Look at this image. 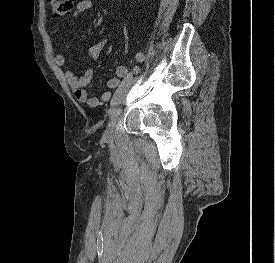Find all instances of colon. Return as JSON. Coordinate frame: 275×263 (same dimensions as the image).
I'll return each instance as SVG.
<instances>
[{"instance_id":"1","label":"colon","mask_w":275,"mask_h":263,"mask_svg":"<svg viewBox=\"0 0 275 263\" xmlns=\"http://www.w3.org/2000/svg\"><path fill=\"white\" fill-rule=\"evenodd\" d=\"M74 0H49V6L55 17L68 14L73 8Z\"/></svg>"}]
</instances>
